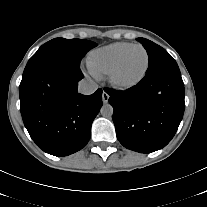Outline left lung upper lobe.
<instances>
[{"label":"left lung upper lobe","mask_w":207,"mask_h":207,"mask_svg":"<svg viewBox=\"0 0 207 207\" xmlns=\"http://www.w3.org/2000/svg\"><path fill=\"white\" fill-rule=\"evenodd\" d=\"M137 40L143 45L149 56L146 75L156 72L165 66L177 64L172 56L161 46L145 38H137Z\"/></svg>","instance_id":"left-lung-upper-lobe-1"}]
</instances>
